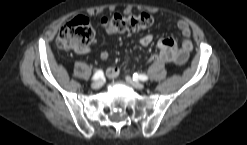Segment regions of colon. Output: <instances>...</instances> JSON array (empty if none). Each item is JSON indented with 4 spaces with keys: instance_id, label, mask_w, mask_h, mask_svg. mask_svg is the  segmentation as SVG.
<instances>
[{
    "instance_id": "5ec220e1",
    "label": "colon",
    "mask_w": 247,
    "mask_h": 145,
    "mask_svg": "<svg viewBox=\"0 0 247 145\" xmlns=\"http://www.w3.org/2000/svg\"><path fill=\"white\" fill-rule=\"evenodd\" d=\"M153 18L147 13L122 15L113 14L103 20V25L113 32H135L151 27ZM95 38V32L88 19L78 15L64 24L57 36L60 49L81 50L89 46Z\"/></svg>"
}]
</instances>
